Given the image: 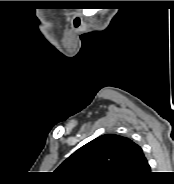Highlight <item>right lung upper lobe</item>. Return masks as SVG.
I'll return each mask as SVG.
<instances>
[{
	"instance_id": "right-lung-upper-lobe-1",
	"label": "right lung upper lobe",
	"mask_w": 174,
	"mask_h": 184,
	"mask_svg": "<svg viewBox=\"0 0 174 184\" xmlns=\"http://www.w3.org/2000/svg\"><path fill=\"white\" fill-rule=\"evenodd\" d=\"M147 165L142 149L132 140L106 134L79 148L55 173L68 184H115L136 177Z\"/></svg>"
}]
</instances>
